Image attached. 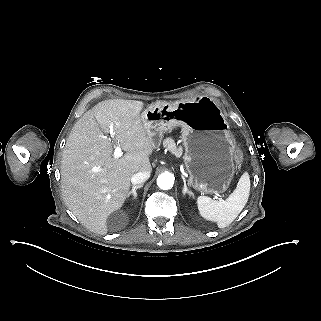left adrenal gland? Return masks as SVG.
<instances>
[{"label": "left adrenal gland", "mask_w": 321, "mask_h": 321, "mask_svg": "<svg viewBox=\"0 0 321 321\" xmlns=\"http://www.w3.org/2000/svg\"><path fill=\"white\" fill-rule=\"evenodd\" d=\"M183 182H184V187L182 190V193L185 195L186 193L189 194L190 196H193L194 194L188 190L187 185H186V180L185 178L182 176Z\"/></svg>", "instance_id": "left-adrenal-gland-1"}]
</instances>
